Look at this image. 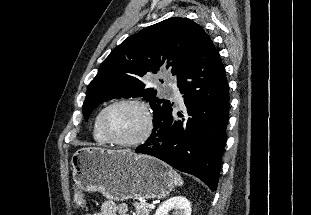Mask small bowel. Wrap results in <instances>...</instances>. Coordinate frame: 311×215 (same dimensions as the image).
Masks as SVG:
<instances>
[{
  "mask_svg": "<svg viewBox=\"0 0 311 215\" xmlns=\"http://www.w3.org/2000/svg\"><path fill=\"white\" fill-rule=\"evenodd\" d=\"M85 215H129L128 207L125 204H116L113 201H105L99 211Z\"/></svg>",
  "mask_w": 311,
  "mask_h": 215,
  "instance_id": "obj_1",
  "label": "small bowel"
}]
</instances>
